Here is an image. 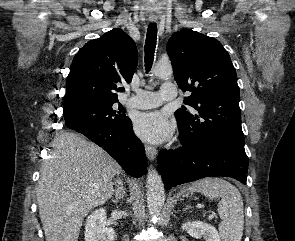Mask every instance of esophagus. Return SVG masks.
Returning a JSON list of instances; mask_svg holds the SVG:
<instances>
[{
	"instance_id": "34e87169",
	"label": "esophagus",
	"mask_w": 295,
	"mask_h": 241,
	"mask_svg": "<svg viewBox=\"0 0 295 241\" xmlns=\"http://www.w3.org/2000/svg\"><path fill=\"white\" fill-rule=\"evenodd\" d=\"M155 21V20H152ZM146 155L150 161H154L157 156V149L151 145L144 144Z\"/></svg>"
}]
</instances>
